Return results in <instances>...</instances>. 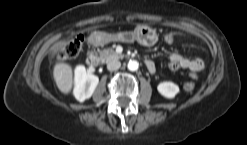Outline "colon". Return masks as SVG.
Here are the masks:
<instances>
[{
	"instance_id": "obj_1",
	"label": "colon",
	"mask_w": 247,
	"mask_h": 145,
	"mask_svg": "<svg viewBox=\"0 0 247 145\" xmlns=\"http://www.w3.org/2000/svg\"><path fill=\"white\" fill-rule=\"evenodd\" d=\"M178 38V35L170 33L165 36L167 43H173ZM84 37L82 34H77L65 40L59 47L57 58L59 61H66L75 58L81 51ZM183 89L187 92H191L195 89V83L187 81L183 85Z\"/></svg>"
}]
</instances>
